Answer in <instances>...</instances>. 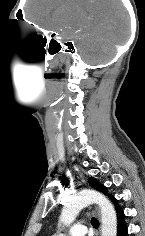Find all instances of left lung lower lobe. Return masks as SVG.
Wrapping results in <instances>:
<instances>
[{"mask_svg": "<svg viewBox=\"0 0 145 236\" xmlns=\"http://www.w3.org/2000/svg\"><path fill=\"white\" fill-rule=\"evenodd\" d=\"M118 217V232L117 236H127V226L124 222L125 214L122 210L116 209Z\"/></svg>", "mask_w": 145, "mask_h": 236, "instance_id": "1", "label": "left lung lower lobe"}]
</instances>
